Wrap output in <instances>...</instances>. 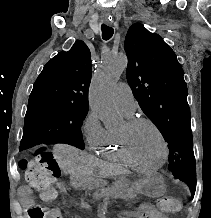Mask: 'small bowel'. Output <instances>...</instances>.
Returning <instances> with one entry per match:
<instances>
[{"mask_svg":"<svg viewBox=\"0 0 211 218\" xmlns=\"http://www.w3.org/2000/svg\"><path fill=\"white\" fill-rule=\"evenodd\" d=\"M57 188L64 192L65 188L61 183L57 184ZM20 198L24 205L31 206L34 203L33 193L29 187H22L20 189ZM87 204H83L82 207H87ZM136 218H168L163 212L156 209L154 206L145 204L138 207L136 210ZM51 218H63L62 212L58 208L50 210Z\"/></svg>","mask_w":211,"mask_h":218,"instance_id":"obj_1","label":"small bowel"}]
</instances>
